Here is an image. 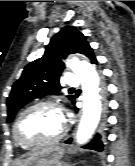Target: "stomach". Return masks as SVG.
<instances>
[{
    "mask_svg": "<svg viewBox=\"0 0 135 166\" xmlns=\"http://www.w3.org/2000/svg\"><path fill=\"white\" fill-rule=\"evenodd\" d=\"M65 153L66 150L60 146L46 147L31 154L26 166H69L61 161Z\"/></svg>",
    "mask_w": 135,
    "mask_h": 166,
    "instance_id": "1",
    "label": "stomach"
}]
</instances>
